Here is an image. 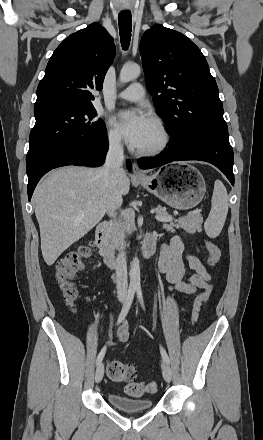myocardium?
<instances>
[{
	"mask_svg": "<svg viewBox=\"0 0 263 440\" xmlns=\"http://www.w3.org/2000/svg\"><path fill=\"white\" fill-rule=\"evenodd\" d=\"M151 122L156 127L160 136V140L157 144L149 148H135V152L137 155L155 156L164 152L171 144L172 135L165 123L157 117H152Z\"/></svg>",
	"mask_w": 263,
	"mask_h": 440,
	"instance_id": "1",
	"label": "myocardium"
}]
</instances>
